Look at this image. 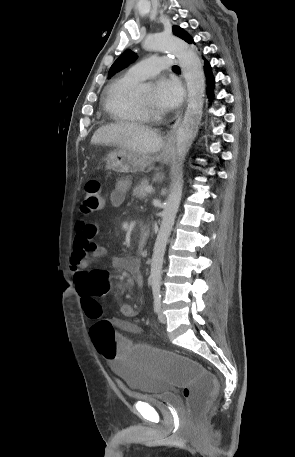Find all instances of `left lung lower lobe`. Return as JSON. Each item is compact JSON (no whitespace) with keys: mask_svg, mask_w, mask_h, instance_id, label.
I'll list each match as a JSON object with an SVG mask.
<instances>
[{"mask_svg":"<svg viewBox=\"0 0 295 457\" xmlns=\"http://www.w3.org/2000/svg\"><path fill=\"white\" fill-rule=\"evenodd\" d=\"M204 64H205L204 71H205V76L207 78V84H208L207 94H208L209 98H213V96H214L213 88H214L215 81L213 78V74H212L211 66H210L209 62L205 60Z\"/></svg>","mask_w":295,"mask_h":457,"instance_id":"left-lung-lower-lobe-1","label":"left lung lower lobe"}]
</instances>
